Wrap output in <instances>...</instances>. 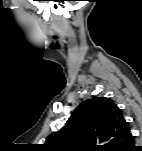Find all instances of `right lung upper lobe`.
<instances>
[{
    "label": "right lung upper lobe",
    "instance_id": "obj_1",
    "mask_svg": "<svg viewBox=\"0 0 142 151\" xmlns=\"http://www.w3.org/2000/svg\"><path fill=\"white\" fill-rule=\"evenodd\" d=\"M133 140L122 111L113 100L92 97L83 101L65 126L49 135V151H120Z\"/></svg>",
    "mask_w": 142,
    "mask_h": 151
}]
</instances>
